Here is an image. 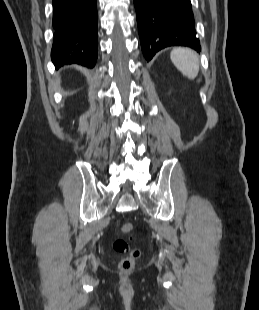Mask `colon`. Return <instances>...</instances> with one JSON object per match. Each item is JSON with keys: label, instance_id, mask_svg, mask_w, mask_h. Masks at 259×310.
I'll use <instances>...</instances> for the list:
<instances>
[{"label": "colon", "instance_id": "obj_1", "mask_svg": "<svg viewBox=\"0 0 259 310\" xmlns=\"http://www.w3.org/2000/svg\"><path fill=\"white\" fill-rule=\"evenodd\" d=\"M132 230L133 225L131 223H123L120 226V231L123 234H130ZM113 249L116 253L124 255L119 263L122 270H131L141 255L139 249L131 248L127 241L123 238H117L114 240Z\"/></svg>", "mask_w": 259, "mask_h": 310}]
</instances>
